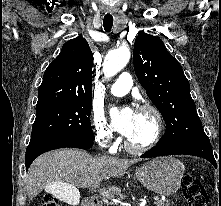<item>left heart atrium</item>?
<instances>
[{"label":"left heart atrium","mask_w":221,"mask_h":206,"mask_svg":"<svg viewBox=\"0 0 221 206\" xmlns=\"http://www.w3.org/2000/svg\"><path fill=\"white\" fill-rule=\"evenodd\" d=\"M111 117L114 128L128 138L134 128L136 112L130 107H125L120 110L113 109L111 111Z\"/></svg>","instance_id":"left-heart-atrium-1"}]
</instances>
